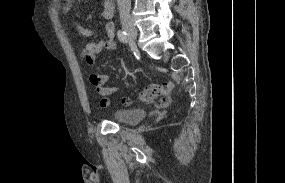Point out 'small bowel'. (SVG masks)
I'll list each match as a JSON object with an SVG mask.
<instances>
[{"label":"small bowel","instance_id":"1","mask_svg":"<svg viewBox=\"0 0 285 183\" xmlns=\"http://www.w3.org/2000/svg\"><path fill=\"white\" fill-rule=\"evenodd\" d=\"M65 4L62 7V11L65 14H69L72 10L71 0H64ZM114 14V4L112 0H103L102 18L110 20ZM73 25L78 33L84 37L92 36L95 33V29H87L83 27L79 22L73 21ZM105 37L96 42H85L81 51V58L89 65H92L97 57L104 50H113L116 47L114 40L115 27L112 22L106 23L104 27ZM91 84L100 95L99 104L101 107H107L110 104L109 96L116 92L117 87L106 86L107 75L103 73H91L89 76ZM174 83L169 81L161 85H150L141 94L140 99L142 101H149L151 99L159 97L161 104L167 106L171 102V94L174 90ZM129 97L123 98L124 105L125 100Z\"/></svg>","mask_w":285,"mask_h":183}]
</instances>
